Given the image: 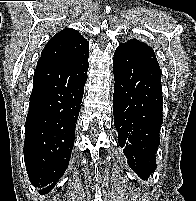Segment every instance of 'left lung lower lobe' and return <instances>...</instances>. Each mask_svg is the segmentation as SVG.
Here are the masks:
<instances>
[{"label": "left lung lower lobe", "mask_w": 196, "mask_h": 201, "mask_svg": "<svg viewBox=\"0 0 196 201\" xmlns=\"http://www.w3.org/2000/svg\"><path fill=\"white\" fill-rule=\"evenodd\" d=\"M114 125L127 162L142 179L156 168L162 125L161 70L157 60L120 44L113 60Z\"/></svg>", "instance_id": "1"}]
</instances>
